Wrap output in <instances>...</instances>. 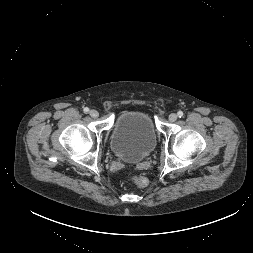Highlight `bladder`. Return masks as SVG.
<instances>
[{
  "mask_svg": "<svg viewBox=\"0 0 253 253\" xmlns=\"http://www.w3.org/2000/svg\"><path fill=\"white\" fill-rule=\"evenodd\" d=\"M157 131L151 116L140 110L125 111L112 127L110 146L114 154L128 163L145 159L155 149Z\"/></svg>",
  "mask_w": 253,
  "mask_h": 253,
  "instance_id": "1",
  "label": "bladder"
}]
</instances>
